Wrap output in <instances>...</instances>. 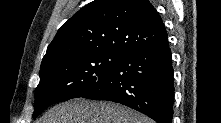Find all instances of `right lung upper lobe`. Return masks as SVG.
Segmentation results:
<instances>
[{
  "mask_svg": "<svg viewBox=\"0 0 221 123\" xmlns=\"http://www.w3.org/2000/svg\"><path fill=\"white\" fill-rule=\"evenodd\" d=\"M166 42L164 23L148 0H95L61 26L41 65L82 51L128 54Z\"/></svg>",
  "mask_w": 221,
  "mask_h": 123,
  "instance_id": "cb5924a9",
  "label": "right lung upper lobe"
}]
</instances>
